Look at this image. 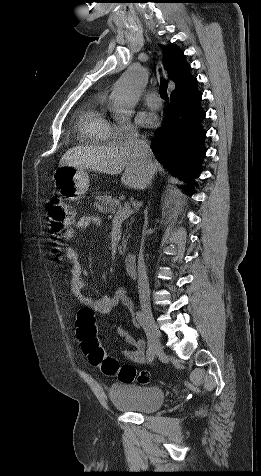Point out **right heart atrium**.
Here are the masks:
<instances>
[{"mask_svg":"<svg viewBox=\"0 0 261 476\" xmlns=\"http://www.w3.org/2000/svg\"><path fill=\"white\" fill-rule=\"evenodd\" d=\"M138 135V130L130 121L121 122L113 125L112 138L115 140H123L128 137H135Z\"/></svg>","mask_w":261,"mask_h":476,"instance_id":"obj_1","label":"right heart atrium"}]
</instances>
